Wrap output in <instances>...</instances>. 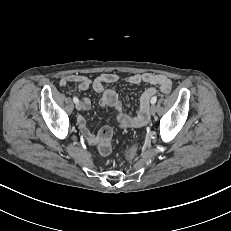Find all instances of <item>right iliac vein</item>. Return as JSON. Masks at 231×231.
Here are the masks:
<instances>
[{"mask_svg": "<svg viewBox=\"0 0 231 231\" xmlns=\"http://www.w3.org/2000/svg\"><path fill=\"white\" fill-rule=\"evenodd\" d=\"M76 109L77 110H81L82 109V103L81 102L76 103Z\"/></svg>", "mask_w": 231, "mask_h": 231, "instance_id": "1", "label": "right iliac vein"}]
</instances>
